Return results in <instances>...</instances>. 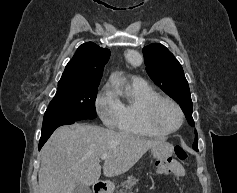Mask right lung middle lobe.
I'll return each instance as SVG.
<instances>
[{
	"label": "right lung middle lobe",
	"mask_w": 237,
	"mask_h": 193,
	"mask_svg": "<svg viewBox=\"0 0 237 193\" xmlns=\"http://www.w3.org/2000/svg\"><path fill=\"white\" fill-rule=\"evenodd\" d=\"M98 85L58 82V91L45 114H56L79 121L96 118L95 100Z\"/></svg>",
	"instance_id": "right-lung-middle-lobe-1"
}]
</instances>
